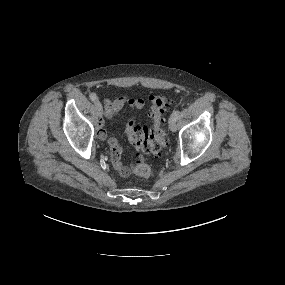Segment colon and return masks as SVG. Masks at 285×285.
Returning <instances> with one entry per match:
<instances>
[{
  "label": "colon",
  "mask_w": 285,
  "mask_h": 285,
  "mask_svg": "<svg viewBox=\"0 0 285 285\" xmlns=\"http://www.w3.org/2000/svg\"><path fill=\"white\" fill-rule=\"evenodd\" d=\"M151 126L144 128L130 120L126 125V135L129 142L141 153L158 155L166 145L165 115L171 107V101L163 95H154L150 98ZM133 172L142 178H151L154 175L151 166L146 164L139 155Z\"/></svg>",
  "instance_id": "colon-1"
}]
</instances>
